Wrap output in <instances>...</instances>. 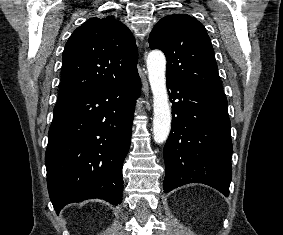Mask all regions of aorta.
I'll list each match as a JSON object with an SVG mask.
<instances>
[{
	"label": "aorta",
	"mask_w": 283,
	"mask_h": 235,
	"mask_svg": "<svg viewBox=\"0 0 283 235\" xmlns=\"http://www.w3.org/2000/svg\"><path fill=\"white\" fill-rule=\"evenodd\" d=\"M148 79L153 94V138L158 144L165 142L171 128V110L166 88V58L158 50L147 57Z\"/></svg>",
	"instance_id": "aorta-1"
}]
</instances>
